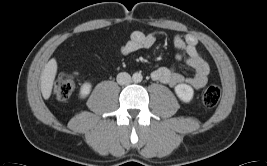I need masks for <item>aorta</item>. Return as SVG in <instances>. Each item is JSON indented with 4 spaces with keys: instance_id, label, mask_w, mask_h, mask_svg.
<instances>
[{
    "instance_id": "aorta-1",
    "label": "aorta",
    "mask_w": 267,
    "mask_h": 166,
    "mask_svg": "<svg viewBox=\"0 0 267 166\" xmlns=\"http://www.w3.org/2000/svg\"><path fill=\"white\" fill-rule=\"evenodd\" d=\"M142 79H143L142 74H141V73H138V72L134 73L133 76H132V80H133L135 83H139V82H141Z\"/></svg>"
}]
</instances>
